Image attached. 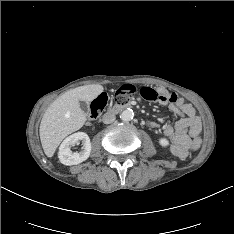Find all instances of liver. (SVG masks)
Returning <instances> with one entry per match:
<instances>
[{
	"instance_id": "1",
	"label": "liver",
	"mask_w": 234,
	"mask_h": 234,
	"mask_svg": "<svg viewBox=\"0 0 234 234\" xmlns=\"http://www.w3.org/2000/svg\"><path fill=\"white\" fill-rule=\"evenodd\" d=\"M104 88L91 84L74 88L59 96L45 111L40 124V140L47 157H52L61 141L79 130L86 122V114L79 102H91Z\"/></svg>"
}]
</instances>
